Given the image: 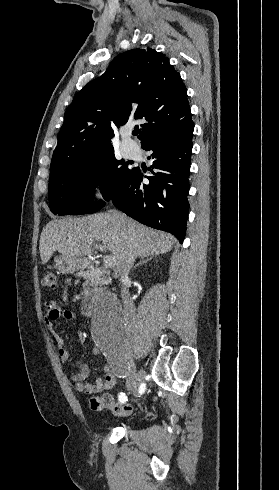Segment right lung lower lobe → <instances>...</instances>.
<instances>
[{"label":"right lung lower lobe","mask_w":279,"mask_h":490,"mask_svg":"<svg viewBox=\"0 0 279 490\" xmlns=\"http://www.w3.org/2000/svg\"><path fill=\"white\" fill-rule=\"evenodd\" d=\"M194 123L167 136L149 140L142 145L152 151V172L142 181L143 173L134 168L111 200L113 204L137 221L173 234L181 243L185 238L189 212V170Z\"/></svg>","instance_id":"1"}]
</instances>
